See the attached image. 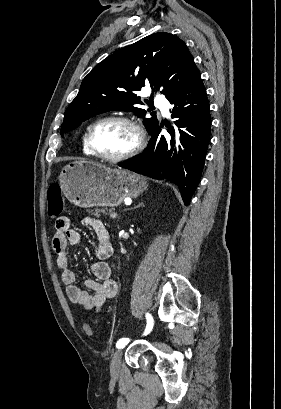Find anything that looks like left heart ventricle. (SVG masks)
<instances>
[{
	"label": "left heart ventricle",
	"instance_id": "left-heart-ventricle-1",
	"mask_svg": "<svg viewBox=\"0 0 281 409\" xmlns=\"http://www.w3.org/2000/svg\"><path fill=\"white\" fill-rule=\"evenodd\" d=\"M135 131L120 122H110L102 125L96 134L97 150L107 156H117L125 153L136 143Z\"/></svg>",
	"mask_w": 281,
	"mask_h": 409
}]
</instances>
